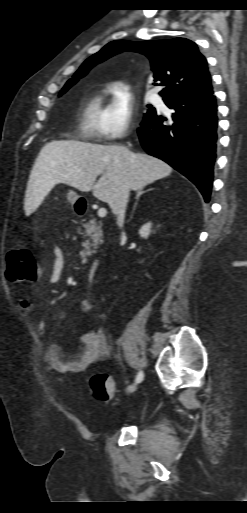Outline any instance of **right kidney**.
Segmentation results:
<instances>
[{
  "label": "right kidney",
  "mask_w": 247,
  "mask_h": 513,
  "mask_svg": "<svg viewBox=\"0 0 247 513\" xmlns=\"http://www.w3.org/2000/svg\"><path fill=\"white\" fill-rule=\"evenodd\" d=\"M150 233H151V223L150 222L143 225L141 227V229L139 230V234L143 238H147Z\"/></svg>",
  "instance_id": "ca27d5eb"
}]
</instances>
